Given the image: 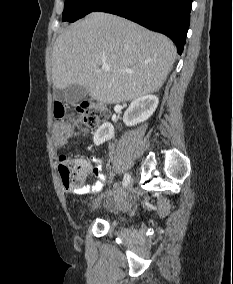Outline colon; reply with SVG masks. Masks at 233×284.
<instances>
[{
	"instance_id": "colon-1",
	"label": "colon",
	"mask_w": 233,
	"mask_h": 284,
	"mask_svg": "<svg viewBox=\"0 0 233 284\" xmlns=\"http://www.w3.org/2000/svg\"><path fill=\"white\" fill-rule=\"evenodd\" d=\"M77 110L82 116L84 125L89 128L98 127L109 116V110L106 105L92 101H83L79 103ZM64 113L65 109L63 105L61 103H55V117L61 119L64 116ZM58 170L66 188H77L78 184L84 178V175L74 159L65 155L61 156L59 159Z\"/></svg>"
}]
</instances>
